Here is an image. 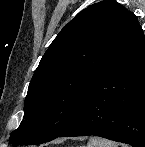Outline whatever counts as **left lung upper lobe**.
I'll list each match as a JSON object with an SVG mask.
<instances>
[{"mask_svg":"<svg viewBox=\"0 0 145 147\" xmlns=\"http://www.w3.org/2000/svg\"><path fill=\"white\" fill-rule=\"evenodd\" d=\"M128 12L106 0L82 10L63 27L35 70L24 120L9 139L12 145L51 141L73 124Z\"/></svg>","mask_w":145,"mask_h":147,"instance_id":"5c2ea615","label":"left lung upper lobe"}]
</instances>
